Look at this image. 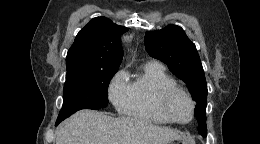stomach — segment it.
I'll use <instances>...</instances> for the list:
<instances>
[{
    "mask_svg": "<svg viewBox=\"0 0 260 144\" xmlns=\"http://www.w3.org/2000/svg\"><path fill=\"white\" fill-rule=\"evenodd\" d=\"M181 141H180V139H176V141L174 142V140L173 141H171V142H169V143H167V144H179Z\"/></svg>",
    "mask_w": 260,
    "mask_h": 144,
    "instance_id": "stomach-1",
    "label": "stomach"
}]
</instances>
